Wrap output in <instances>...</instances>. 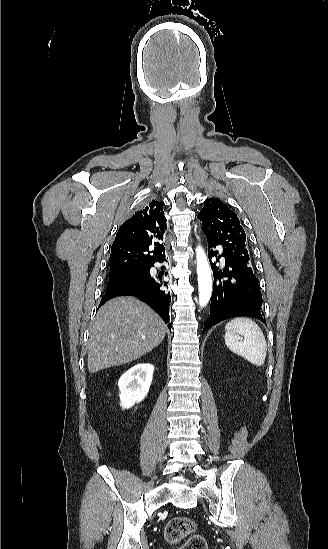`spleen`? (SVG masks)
<instances>
[{"label":"spleen","instance_id":"obj_1","mask_svg":"<svg viewBox=\"0 0 328 549\" xmlns=\"http://www.w3.org/2000/svg\"><path fill=\"white\" fill-rule=\"evenodd\" d=\"M225 331V345L232 353L243 357L256 367H263L267 343L259 325L247 317H236L227 323ZM240 339H244V341H240Z\"/></svg>","mask_w":328,"mask_h":549}]
</instances>
